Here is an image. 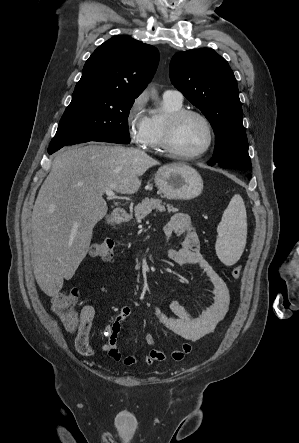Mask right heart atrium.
Segmentation results:
<instances>
[{
	"mask_svg": "<svg viewBox=\"0 0 299 443\" xmlns=\"http://www.w3.org/2000/svg\"><path fill=\"white\" fill-rule=\"evenodd\" d=\"M144 94L136 96L125 113V126L130 140L137 146L143 147L149 133V117L145 109Z\"/></svg>",
	"mask_w": 299,
	"mask_h": 443,
	"instance_id": "obj_1",
	"label": "right heart atrium"
}]
</instances>
